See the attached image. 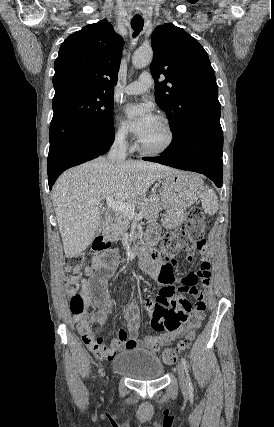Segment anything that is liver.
<instances>
[{
	"label": "liver",
	"mask_w": 274,
	"mask_h": 427,
	"mask_svg": "<svg viewBox=\"0 0 274 427\" xmlns=\"http://www.w3.org/2000/svg\"><path fill=\"white\" fill-rule=\"evenodd\" d=\"M175 172L142 160L112 164L107 158H96L64 172L53 186L52 202L66 257H75L92 243L101 223V200L135 202L154 182Z\"/></svg>",
	"instance_id": "liver-1"
}]
</instances>
